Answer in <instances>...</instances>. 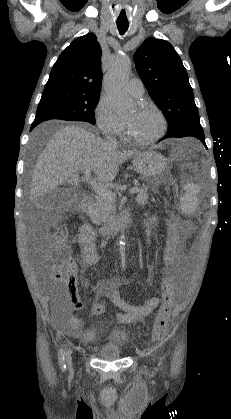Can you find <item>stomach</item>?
I'll use <instances>...</instances> for the list:
<instances>
[{
	"mask_svg": "<svg viewBox=\"0 0 231 419\" xmlns=\"http://www.w3.org/2000/svg\"><path fill=\"white\" fill-rule=\"evenodd\" d=\"M133 167L152 187H156L164 182L168 164L161 153L149 150L133 158Z\"/></svg>",
	"mask_w": 231,
	"mask_h": 419,
	"instance_id": "obj_1",
	"label": "stomach"
}]
</instances>
